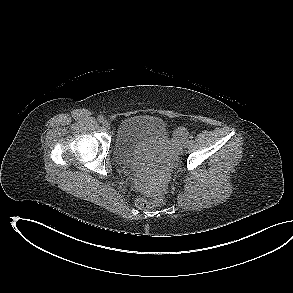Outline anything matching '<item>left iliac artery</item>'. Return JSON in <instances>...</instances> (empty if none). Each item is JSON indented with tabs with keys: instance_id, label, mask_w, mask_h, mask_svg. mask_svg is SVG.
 <instances>
[{
	"instance_id": "44dca946",
	"label": "left iliac artery",
	"mask_w": 293,
	"mask_h": 293,
	"mask_svg": "<svg viewBox=\"0 0 293 293\" xmlns=\"http://www.w3.org/2000/svg\"><path fill=\"white\" fill-rule=\"evenodd\" d=\"M189 138L192 139L193 138V135H189Z\"/></svg>"
}]
</instances>
